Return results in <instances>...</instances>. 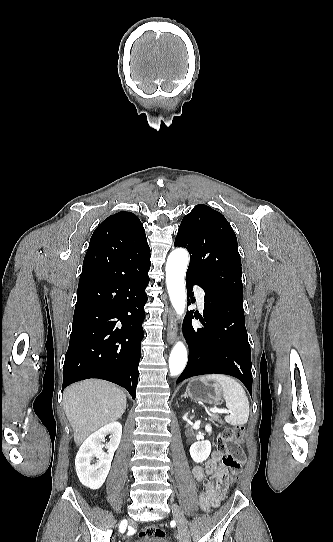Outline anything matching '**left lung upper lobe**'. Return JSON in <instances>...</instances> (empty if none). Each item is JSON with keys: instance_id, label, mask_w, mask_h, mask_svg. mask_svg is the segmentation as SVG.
<instances>
[{"instance_id": "1", "label": "left lung upper lobe", "mask_w": 333, "mask_h": 542, "mask_svg": "<svg viewBox=\"0 0 333 542\" xmlns=\"http://www.w3.org/2000/svg\"><path fill=\"white\" fill-rule=\"evenodd\" d=\"M174 245L189 251L187 273L206 289L243 297L237 238L221 213L207 205H196L183 218Z\"/></svg>"}]
</instances>
